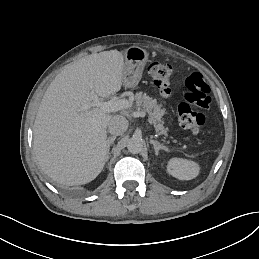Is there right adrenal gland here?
Returning <instances> with one entry per match:
<instances>
[{"label": "right adrenal gland", "instance_id": "obj_1", "mask_svg": "<svg viewBox=\"0 0 259 259\" xmlns=\"http://www.w3.org/2000/svg\"><path fill=\"white\" fill-rule=\"evenodd\" d=\"M115 136H112V137H108L107 139V147H108V154H107V157L109 158V150H110V146L114 143V140H115Z\"/></svg>", "mask_w": 259, "mask_h": 259}]
</instances>
